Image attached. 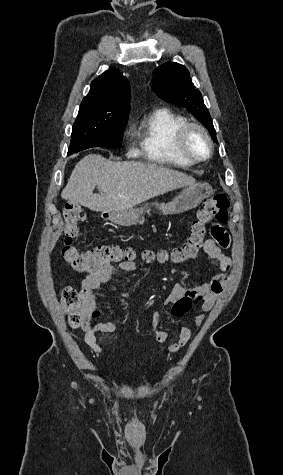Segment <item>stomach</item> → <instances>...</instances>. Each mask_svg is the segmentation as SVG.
I'll return each instance as SVG.
<instances>
[{"label": "stomach", "instance_id": "obj_1", "mask_svg": "<svg viewBox=\"0 0 283 475\" xmlns=\"http://www.w3.org/2000/svg\"><path fill=\"white\" fill-rule=\"evenodd\" d=\"M214 190L209 184H194V186H188L184 188L172 202L169 204H154L162 214H181V212H187V210H193L197 208L203 200L210 198ZM147 212V206L145 208H130V210H117V212H110L109 220L113 224H119V226H132L136 222H140L144 214Z\"/></svg>", "mask_w": 283, "mask_h": 475}]
</instances>
